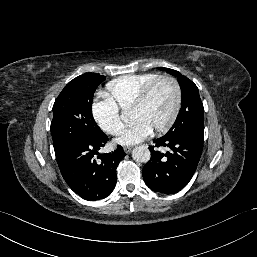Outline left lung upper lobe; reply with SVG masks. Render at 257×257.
<instances>
[{"label": "left lung upper lobe", "instance_id": "5c2ea615", "mask_svg": "<svg viewBox=\"0 0 257 257\" xmlns=\"http://www.w3.org/2000/svg\"><path fill=\"white\" fill-rule=\"evenodd\" d=\"M171 75L178 77L181 87L182 107L177 119L165 137H178L187 134L204 135V108L197 86L178 71L161 68Z\"/></svg>", "mask_w": 257, "mask_h": 257}]
</instances>
